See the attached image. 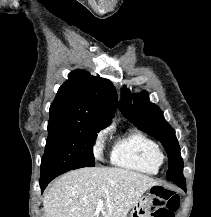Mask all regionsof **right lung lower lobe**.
Returning <instances> with one entry per match:
<instances>
[{
    "instance_id": "obj_1",
    "label": "right lung lower lobe",
    "mask_w": 211,
    "mask_h": 217,
    "mask_svg": "<svg viewBox=\"0 0 211 217\" xmlns=\"http://www.w3.org/2000/svg\"><path fill=\"white\" fill-rule=\"evenodd\" d=\"M69 170H62V171H57V172H53L50 174H47L45 176H41L40 177V188H41V192L44 191V189L46 188V186L57 176L67 172Z\"/></svg>"
}]
</instances>
